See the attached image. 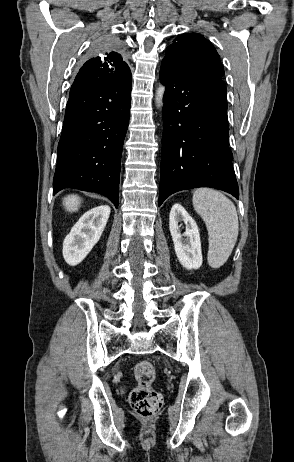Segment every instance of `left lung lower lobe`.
<instances>
[{"label": "left lung lower lobe", "instance_id": "obj_1", "mask_svg": "<svg viewBox=\"0 0 294 462\" xmlns=\"http://www.w3.org/2000/svg\"><path fill=\"white\" fill-rule=\"evenodd\" d=\"M165 85L159 203L172 193L212 187L239 198L229 149L226 87L161 64Z\"/></svg>", "mask_w": 294, "mask_h": 462}]
</instances>
